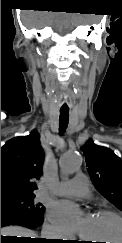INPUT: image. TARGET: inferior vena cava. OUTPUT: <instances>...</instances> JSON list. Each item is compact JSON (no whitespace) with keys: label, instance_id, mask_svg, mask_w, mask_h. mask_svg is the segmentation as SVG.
<instances>
[{"label":"inferior vena cava","instance_id":"602c4592","mask_svg":"<svg viewBox=\"0 0 122 243\" xmlns=\"http://www.w3.org/2000/svg\"><path fill=\"white\" fill-rule=\"evenodd\" d=\"M57 234L54 230L44 226L41 232V237L46 239H57Z\"/></svg>","mask_w":122,"mask_h":243}]
</instances>
